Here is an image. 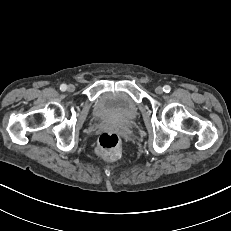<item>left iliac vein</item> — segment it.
I'll list each match as a JSON object with an SVG mask.
<instances>
[{
    "label": "left iliac vein",
    "instance_id": "obj_1",
    "mask_svg": "<svg viewBox=\"0 0 231 231\" xmlns=\"http://www.w3.org/2000/svg\"><path fill=\"white\" fill-rule=\"evenodd\" d=\"M155 92L157 94H162L163 93V88L161 86L156 87Z\"/></svg>",
    "mask_w": 231,
    "mask_h": 231
}]
</instances>
